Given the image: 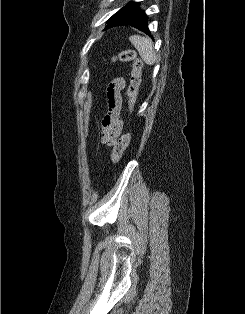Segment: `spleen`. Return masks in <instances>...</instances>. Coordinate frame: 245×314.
Returning a JSON list of instances; mask_svg holds the SVG:
<instances>
[{
	"label": "spleen",
	"mask_w": 245,
	"mask_h": 314,
	"mask_svg": "<svg viewBox=\"0 0 245 314\" xmlns=\"http://www.w3.org/2000/svg\"><path fill=\"white\" fill-rule=\"evenodd\" d=\"M129 40L146 64L153 65L155 63L156 54L153 50V43L150 38L132 35L129 37Z\"/></svg>",
	"instance_id": "spleen-1"
}]
</instances>
